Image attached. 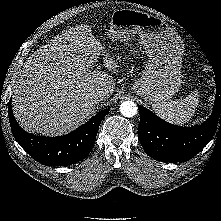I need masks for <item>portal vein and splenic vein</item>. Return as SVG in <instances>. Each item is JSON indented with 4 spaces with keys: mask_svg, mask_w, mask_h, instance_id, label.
<instances>
[{
    "mask_svg": "<svg viewBox=\"0 0 221 221\" xmlns=\"http://www.w3.org/2000/svg\"><path fill=\"white\" fill-rule=\"evenodd\" d=\"M95 72H98L97 68H96Z\"/></svg>",
    "mask_w": 221,
    "mask_h": 221,
    "instance_id": "obj_1",
    "label": "portal vein and splenic vein"
}]
</instances>
